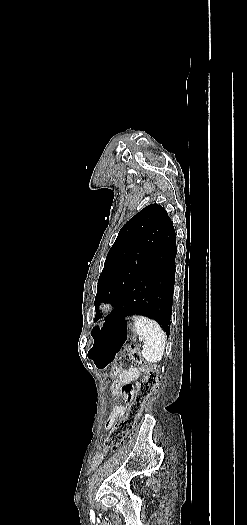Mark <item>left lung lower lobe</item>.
Masks as SVG:
<instances>
[{"label": "left lung lower lobe", "instance_id": "1", "mask_svg": "<svg viewBox=\"0 0 247 525\" xmlns=\"http://www.w3.org/2000/svg\"><path fill=\"white\" fill-rule=\"evenodd\" d=\"M176 252V233L171 222L154 246L145 268L105 318L107 322L143 315L157 321L169 335Z\"/></svg>", "mask_w": 247, "mask_h": 525}]
</instances>
